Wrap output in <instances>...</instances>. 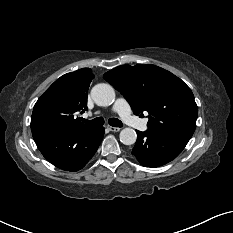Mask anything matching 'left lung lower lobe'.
I'll list each match as a JSON object with an SVG mask.
<instances>
[{
  "instance_id": "left-lung-lower-lobe-1",
  "label": "left lung lower lobe",
  "mask_w": 233,
  "mask_h": 233,
  "mask_svg": "<svg viewBox=\"0 0 233 233\" xmlns=\"http://www.w3.org/2000/svg\"><path fill=\"white\" fill-rule=\"evenodd\" d=\"M137 132V141L132 154L146 167L162 166L175 159L190 138L167 132L147 130Z\"/></svg>"
}]
</instances>
